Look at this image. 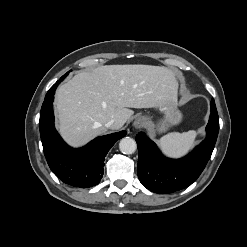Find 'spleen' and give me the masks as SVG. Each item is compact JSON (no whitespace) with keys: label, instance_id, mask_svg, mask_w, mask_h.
I'll use <instances>...</instances> for the list:
<instances>
[{"label":"spleen","instance_id":"obj_1","mask_svg":"<svg viewBox=\"0 0 247 247\" xmlns=\"http://www.w3.org/2000/svg\"><path fill=\"white\" fill-rule=\"evenodd\" d=\"M197 132L190 130L188 132H171L159 140L162 151L174 158H179L188 153L193 147Z\"/></svg>","mask_w":247,"mask_h":247}]
</instances>
